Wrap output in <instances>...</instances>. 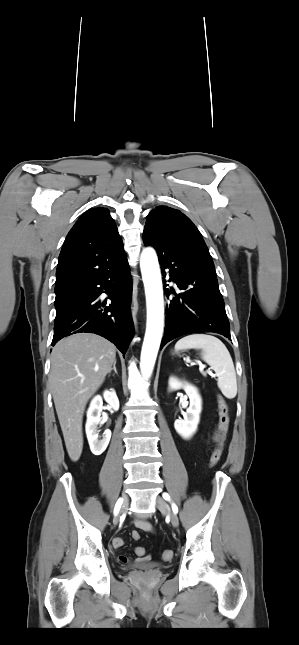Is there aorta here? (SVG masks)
<instances>
[{"mask_svg": "<svg viewBox=\"0 0 299 645\" xmlns=\"http://www.w3.org/2000/svg\"><path fill=\"white\" fill-rule=\"evenodd\" d=\"M140 267L145 287L147 323L141 351L140 369L145 378L152 374L164 326V299L158 258L153 248L141 253Z\"/></svg>", "mask_w": 299, "mask_h": 645, "instance_id": "1", "label": "aorta"}]
</instances>
